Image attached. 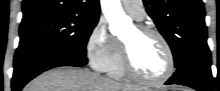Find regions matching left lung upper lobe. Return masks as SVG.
I'll return each mask as SVG.
<instances>
[{
	"instance_id": "5c2ea615",
	"label": "left lung upper lobe",
	"mask_w": 220,
	"mask_h": 91,
	"mask_svg": "<svg viewBox=\"0 0 220 91\" xmlns=\"http://www.w3.org/2000/svg\"><path fill=\"white\" fill-rule=\"evenodd\" d=\"M146 11L171 47L176 71L211 58L202 0H143Z\"/></svg>"
}]
</instances>
